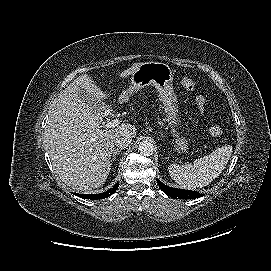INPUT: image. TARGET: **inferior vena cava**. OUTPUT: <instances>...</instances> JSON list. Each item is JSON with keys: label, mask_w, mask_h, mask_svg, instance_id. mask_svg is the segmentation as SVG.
Wrapping results in <instances>:
<instances>
[{"label": "inferior vena cava", "mask_w": 271, "mask_h": 271, "mask_svg": "<svg viewBox=\"0 0 271 271\" xmlns=\"http://www.w3.org/2000/svg\"><path fill=\"white\" fill-rule=\"evenodd\" d=\"M113 142L117 147L125 148L131 144L132 137L127 132H121L115 135Z\"/></svg>", "instance_id": "obj_1"}]
</instances>
